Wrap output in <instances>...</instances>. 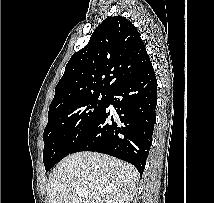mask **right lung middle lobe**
Returning <instances> with one entry per match:
<instances>
[{
	"label": "right lung middle lobe",
	"instance_id": "right-lung-middle-lobe-1",
	"mask_svg": "<svg viewBox=\"0 0 214 203\" xmlns=\"http://www.w3.org/2000/svg\"><path fill=\"white\" fill-rule=\"evenodd\" d=\"M107 95L94 93L48 112V123L43 134V162L46 171L70 154L87 134L105 107Z\"/></svg>",
	"mask_w": 214,
	"mask_h": 203
}]
</instances>
